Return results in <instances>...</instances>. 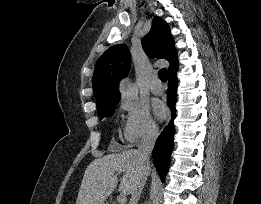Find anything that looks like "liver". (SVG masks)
<instances>
[{
    "label": "liver",
    "mask_w": 261,
    "mask_h": 204,
    "mask_svg": "<svg viewBox=\"0 0 261 204\" xmlns=\"http://www.w3.org/2000/svg\"><path fill=\"white\" fill-rule=\"evenodd\" d=\"M150 171L151 168L148 174ZM121 172L124 175L119 191L129 195L142 175L137 150L113 153L93 160L84 172L76 204H102L117 186V175Z\"/></svg>",
    "instance_id": "1"
}]
</instances>
